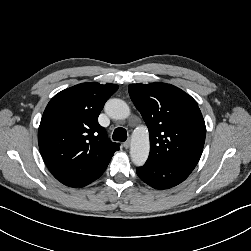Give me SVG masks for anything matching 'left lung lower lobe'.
<instances>
[{"mask_svg":"<svg viewBox=\"0 0 251 251\" xmlns=\"http://www.w3.org/2000/svg\"><path fill=\"white\" fill-rule=\"evenodd\" d=\"M192 169L147 161L136 172L142 181L156 189H168L180 184L192 172Z\"/></svg>","mask_w":251,"mask_h":251,"instance_id":"0a47b994","label":"left lung lower lobe"}]
</instances>
